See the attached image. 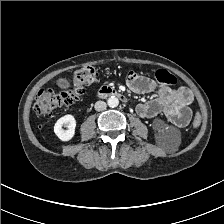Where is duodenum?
<instances>
[{
	"label": "duodenum",
	"mask_w": 224,
	"mask_h": 224,
	"mask_svg": "<svg viewBox=\"0 0 224 224\" xmlns=\"http://www.w3.org/2000/svg\"><path fill=\"white\" fill-rule=\"evenodd\" d=\"M115 96L120 98L122 101L127 102V97L120 91H117L111 87H103L97 92V97H110Z\"/></svg>",
	"instance_id": "410a0bca"
}]
</instances>
